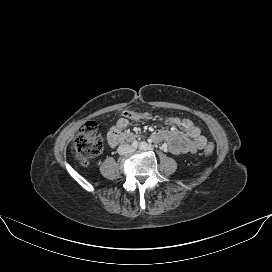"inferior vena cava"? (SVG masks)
<instances>
[{
  "label": "inferior vena cava",
  "instance_id": "inferior-vena-cava-1",
  "mask_svg": "<svg viewBox=\"0 0 272 272\" xmlns=\"http://www.w3.org/2000/svg\"><path fill=\"white\" fill-rule=\"evenodd\" d=\"M133 151H134L133 147L129 144H121L117 149V152L120 155H128L131 154Z\"/></svg>",
  "mask_w": 272,
  "mask_h": 272
}]
</instances>
